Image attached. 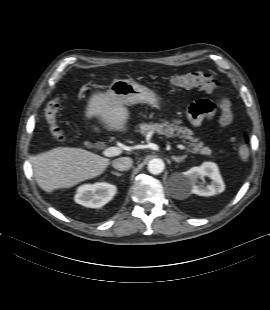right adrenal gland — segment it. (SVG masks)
<instances>
[{
    "mask_svg": "<svg viewBox=\"0 0 270 310\" xmlns=\"http://www.w3.org/2000/svg\"><path fill=\"white\" fill-rule=\"evenodd\" d=\"M111 173H112L113 175H115V176H118V177H120V176L123 175L122 173L115 172V171H111Z\"/></svg>",
    "mask_w": 270,
    "mask_h": 310,
    "instance_id": "1",
    "label": "right adrenal gland"
}]
</instances>
